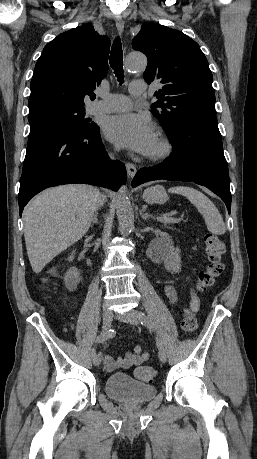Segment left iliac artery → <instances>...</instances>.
I'll return each instance as SVG.
<instances>
[{"label":"left iliac artery","mask_w":257,"mask_h":459,"mask_svg":"<svg viewBox=\"0 0 257 459\" xmlns=\"http://www.w3.org/2000/svg\"><path fill=\"white\" fill-rule=\"evenodd\" d=\"M140 322L143 326L149 328L150 330L153 329V326L151 324V321L149 320V318L144 314V313H141V317H140ZM156 344L159 348L162 347V342L161 340L156 337Z\"/></svg>","instance_id":"obj_1"}]
</instances>
